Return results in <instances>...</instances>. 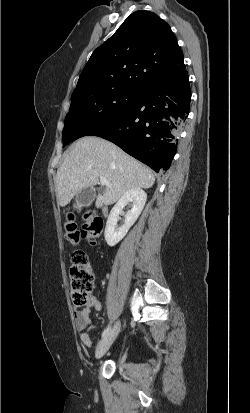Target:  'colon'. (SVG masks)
<instances>
[{"mask_svg": "<svg viewBox=\"0 0 250 413\" xmlns=\"http://www.w3.org/2000/svg\"><path fill=\"white\" fill-rule=\"evenodd\" d=\"M65 238L74 246L82 238L94 244L103 231V221L100 217L89 211L85 214L84 225L78 229L75 217L68 213L64 224ZM94 287V275L86 255L82 251H75L70 267V290L72 301L77 307H87L91 303Z\"/></svg>", "mask_w": 250, "mask_h": 413, "instance_id": "colon-1", "label": "colon"}]
</instances>
